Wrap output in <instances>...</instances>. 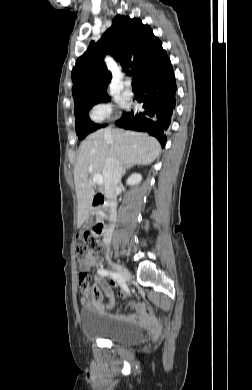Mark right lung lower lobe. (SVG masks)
<instances>
[{
	"label": "right lung lower lobe",
	"mask_w": 252,
	"mask_h": 390,
	"mask_svg": "<svg viewBox=\"0 0 252 390\" xmlns=\"http://www.w3.org/2000/svg\"><path fill=\"white\" fill-rule=\"evenodd\" d=\"M140 102L144 111L127 112L116 124L125 129L147 132L165 146L166 130L170 124L176 101V81L172 67L158 75L144 78L139 84Z\"/></svg>",
	"instance_id": "1"
}]
</instances>
